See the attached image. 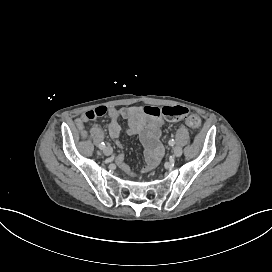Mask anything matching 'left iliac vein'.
<instances>
[{"label": "left iliac vein", "instance_id": "1", "mask_svg": "<svg viewBox=\"0 0 272 272\" xmlns=\"http://www.w3.org/2000/svg\"><path fill=\"white\" fill-rule=\"evenodd\" d=\"M173 153L175 157H180L182 155V149L179 146L174 147Z\"/></svg>", "mask_w": 272, "mask_h": 272}]
</instances>
